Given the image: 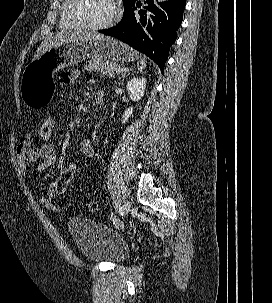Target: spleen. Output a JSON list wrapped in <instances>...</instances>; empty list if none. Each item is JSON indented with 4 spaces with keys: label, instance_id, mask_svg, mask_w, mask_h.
I'll list each match as a JSON object with an SVG mask.
<instances>
[{
    "label": "spleen",
    "instance_id": "1",
    "mask_svg": "<svg viewBox=\"0 0 272 303\" xmlns=\"http://www.w3.org/2000/svg\"><path fill=\"white\" fill-rule=\"evenodd\" d=\"M138 69L143 70L146 67V60L140 55V60L137 63Z\"/></svg>",
    "mask_w": 272,
    "mask_h": 303
}]
</instances>
